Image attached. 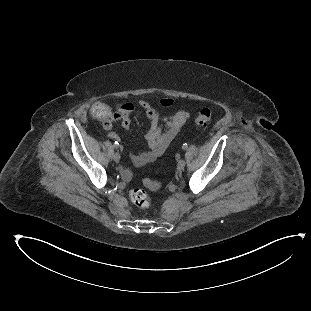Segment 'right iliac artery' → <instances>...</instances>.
<instances>
[{"instance_id":"right-iliac-artery-1","label":"right iliac artery","mask_w":311,"mask_h":311,"mask_svg":"<svg viewBox=\"0 0 311 311\" xmlns=\"http://www.w3.org/2000/svg\"><path fill=\"white\" fill-rule=\"evenodd\" d=\"M113 146H114V148H116V149L119 148V142H118V141H115L114 144H113Z\"/></svg>"}]
</instances>
